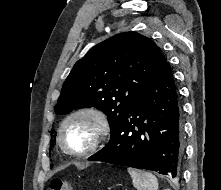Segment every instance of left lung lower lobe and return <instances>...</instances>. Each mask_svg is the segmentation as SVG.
<instances>
[{
    "mask_svg": "<svg viewBox=\"0 0 221 190\" xmlns=\"http://www.w3.org/2000/svg\"><path fill=\"white\" fill-rule=\"evenodd\" d=\"M181 106L168 62L112 128L108 144L89 161L178 177L183 156Z\"/></svg>",
    "mask_w": 221,
    "mask_h": 190,
    "instance_id": "left-lung-lower-lobe-1",
    "label": "left lung lower lobe"
}]
</instances>
